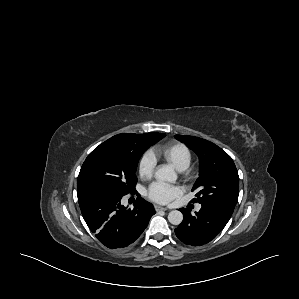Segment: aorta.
I'll use <instances>...</instances> for the list:
<instances>
[{"label":"aorta","instance_id":"1","mask_svg":"<svg viewBox=\"0 0 299 299\" xmlns=\"http://www.w3.org/2000/svg\"><path fill=\"white\" fill-rule=\"evenodd\" d=\"M155 178L161 182H175L177 175L171 166L165 165L155 172ZM168 221L173 225H179L183 221V214L178 210H172L168 214Z\"/></svg>","mask_w":299,"mask_h":299}]
</instances>
